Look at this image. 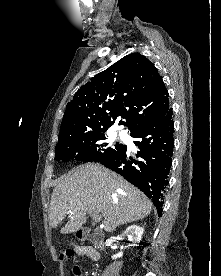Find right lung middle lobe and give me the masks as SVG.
Instances as JSON below:
<instances>
[{"label": "right lung middle lobe", "mask_w": 221, "mask_h": 276, "mask_svg": "<svg viewBox=\"0 0 221 276\" xmlns=\"http://www.w3.org/2000/svg\"><path fill=\"white\" fill-rule=\"evenodd\" d=\"M104 132H96L87 136L59 142L55 148V160L67 162L70 159L104 163L121 154L126 146L105 142Z\"/></svg>", "instance_id": "1"}]
</instances>
